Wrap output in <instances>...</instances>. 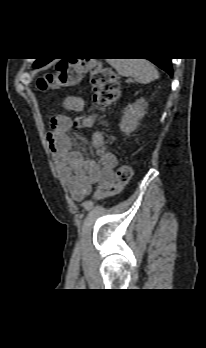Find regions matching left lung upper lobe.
I'll return each instance as SVG.
<instances>
[{
	"mask_svg": "<svg viewBox=\"0 0 206 348\" xmlns=\"http://www.w3.org/2000/svg\"><path fill=\"white\" fill-rule=\"evenodd\" d=\"M49 61H46V60H43V59H37L34 64H33V67L34 68H39L45 64H47Z\"/></svg>",
	"mask_w": 206,
	"mask_h": 348,
	"instance_id": "obj_1",
	"label": "left lung upper lobe"
}]
</instances>
